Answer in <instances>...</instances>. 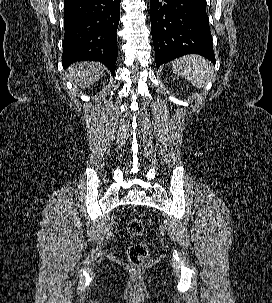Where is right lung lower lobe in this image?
<instances>
[{"mask_svg": "<svg viewBox=\"0 0 272 303\" xmlns=\"http://www.w3.org/2000/svg\"><path fill=\"white\" fill-rule=\"evenodd\" d=\"M121 0H75L64 4L62 65L100 61L115 75Z\"/></svg>", "mask_w": 272, "mask_h": 303, "instance_id": "98d812e1", "label": "right lung lower lobe"}]
</instances>
